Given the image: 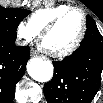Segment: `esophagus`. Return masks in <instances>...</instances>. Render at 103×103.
I'll return each instance as SVG.
<instances>
[{
	"label": "esophagus",
	"instance_id": "34e87169",
	"mask_svg": "<svg viewBox=\"0 0 103 103\" xmlns=\"http://www.w3.org/2000/svg\"><path fill=\"white\" fill-rule=\"evenodd\" d=\"M31 55H32V56H36V55H37V51L34 50V49H31Z\"/></svg>",
	"mask_w": 103,
	"mask_h": 103
}]
</instances>
